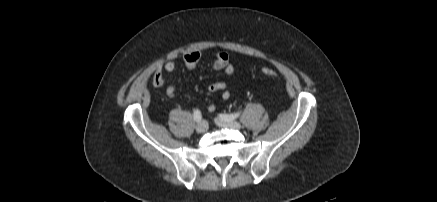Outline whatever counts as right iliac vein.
Listing matches in <instances>:
<instances>
[{
	"label": "right iliac vein",
	"mask_w": 437,
	"mask_h": 202,
	"mask_svg": "<svg viewBox=\"0 0 437 202\" xmlns=\"http://www.w3.org/2000/svg\"><path fill=\"white\" fill-rule=\"evenodd\" d=\"M207 129H208V123L204 120L198 122V124L196 125V131L198 133H204L207 131Z\"/></svg>",
	"instance_id": "63e3f726"
}]
</instances>
